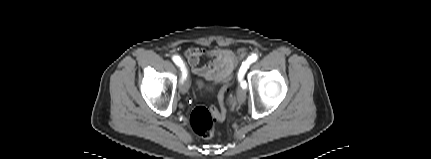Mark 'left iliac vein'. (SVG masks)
<instances>
[{
  "label": "left iliac vein",
  "mask_w": 431,
  "mask_h": 159,
  "mask_svg": "<svg viewBox=\"0 0 431 159\" xmlns=\"http://www.w3.org/2000/svg\"><path fill=\"white\" fill-rule=\"evenodd\" d=\"M236 94H237V99H238V101L240 103L245 102V100H246V91L243 88L238 87L237 91H236Z\"/></svg>",
  "instance_id": "left-iliac-vein-1"
}]
</instances>
